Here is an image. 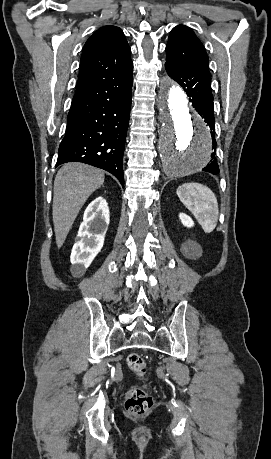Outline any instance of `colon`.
I'll use <instances>...</instances> for the list:
<instances>
[{"mask_svg": "<svg viewBox=\"0 0 271 459\" xmlns=\"http://www.w3.org/2000/svg\"><path fill=\"white\" fill-rule=\"evenodd\" d=\"M127 364L133 374L143 377L147 367L144 359L138 354H130L127 357ZM153 406V399L149 394L147 386L130 389L125 397V408L132 415H143Z\"/></svg>", "mask_w": 271, "mask_h": 459, "instance_id": "1", "label": "colon"}]
</instances>
